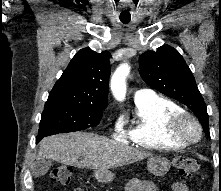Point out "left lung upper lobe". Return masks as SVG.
<instances>
[{"label":"left lung upper lobe","mask_w":221,"mask_h":191,"mask_svg":"<svg viewBox=\"0 0 221 191\" xmlns=\"http://www.w3.org/2000/svg\"><path fill=\"white\" fill-rule=\"evenodd\" d=\"M140 75L153 89L187 105L209 133L206 104L183 57L169 45L139 57Z\"/></svg>","instance_id":"left-lung-upper-lobe-1"}]
</instances>
